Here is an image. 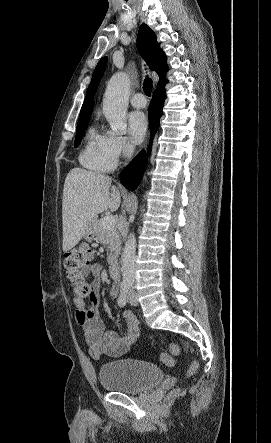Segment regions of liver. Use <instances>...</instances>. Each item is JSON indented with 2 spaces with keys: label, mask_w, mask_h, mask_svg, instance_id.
I'll use <instances>...</instances> for the list:
<instances>
[{
  "label": "liver",
  "mask_w": 271,
  "mask_h": 443,
  "mask_svg": "<svg viewBox=\"0 0 271 443\" xmlns=\"http://www.w3.org/2000/svg\"><path fill=\"white\" fill-rule=\"evenodd\" d=\"M111 180L109 176L86 172L81 168L70 170L62 200L63 251H69L79 243L98 214L118 210L121 196Z\"/></svg>",
  "instance_id": "obj_1"
}]
</instances>
